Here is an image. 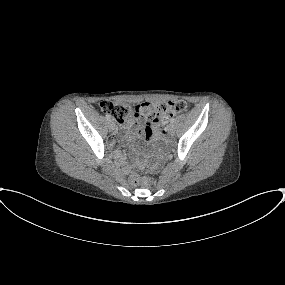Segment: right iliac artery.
Listing matches in <instances>:
<instances>
[{"label":"right iliac artery","mask_w":285,"mask_h":285,"mask_svg":"<svg viewBox=\"0 0 285 285\" xmlns=\"http://www.w3.org/2000/svg\"><path fill=\"white\" fill-rule=\"evenodd\" d=\"M106 119L110 120V116L108 114H106Z\"/></svg>","instance_id":"obj_1"}]
</instances>
